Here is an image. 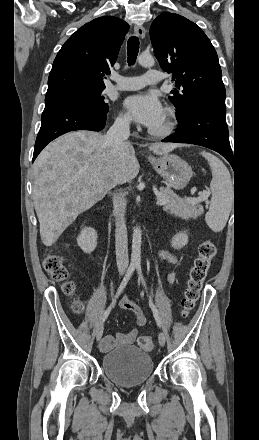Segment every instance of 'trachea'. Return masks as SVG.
I'll return each mask as SVG.
<instances>
[{
  "mask_svg": "<svg viewBox=\"0 0 259 440\" xmlns=\"http://www.w3.org/2000/svg\"><path fill=\"white\" fill-rule=\"evenodd\" d=\"M139 52V39L132 36L127 42L128 65H134Z\"/></svg>",
  "mask_w": 259,
  "mask_h": 440,
  "instance_id": "obj_1",
  "label": "trachea"
}]
</instances>
